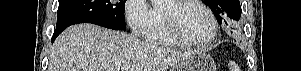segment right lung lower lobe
<instances>
[{"label":"right lung lower lobe","mask_w":301,"mask_h":71,"mask_svg":"<svg viewBox=\"0 0 301 71\" xmlns=\"http://www.w3.org/2000/svg\"><path fill=\"white\" fill-rule=\"evenodd\" d=\"M64 27H56L54 34L52 36V42L56 39V37L64 30Z\"/></svg>","instance_id":"right-lung-lower-lobe-1"}]
</instances>
